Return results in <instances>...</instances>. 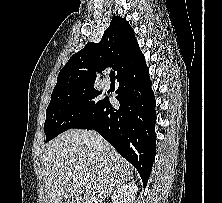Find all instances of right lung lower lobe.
I'll use <instances>...</instances> for the list:
<instances>
[{
  "label": "right lung lower lobe",
  "instance_id": "98d812e1",
  "mask_svg": "<svg viewBox=\"0 0 222 203\" xmlns=\"http://www.w3.org/2000/svg\"><path fill=\"white\" fill-rule=\"evenodd\" d=\"M119 109L109 98L73 128L93 129L139 172L144 187L155 159V97L145 61L117 76Z\"/></svg>",
  "mask_w": 222,
  "mask_h": 203
}]
</instances>
